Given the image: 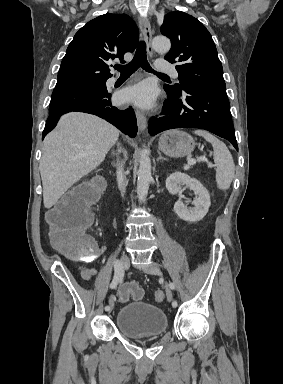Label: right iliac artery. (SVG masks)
Returning a JSON list of instances; mask_svg holds the SVG:
<instances>
[{"mask_svg":"<svg viewBox=\"0 0 283 384\" xmlns=\"http://www.w3.org/2000/svg\"><path fill=\"white\" fill-rule=\"evenodd\" d=\"M114 268H115V273H114L113 280L110 284L111 289H115L118 283H120L124 277V269L122 268L121 264L118 261L115 262ZM109 308L110 306H106L105 310L107 311Z\"/></svg>","mask_w":283,"mask_h":384,"instance_id":"1","label":"right iliac artery"}]
</instances>
